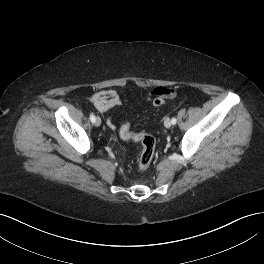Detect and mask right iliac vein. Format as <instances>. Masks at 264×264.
I'll use <instances>...</instances> for the list:
<instances>
[{"label": "right iliac vein", "instance_id": "63e3f726", "mask_svg": "<svg viewBox=\"0 0 264 264\" xmlns=\"http://www.w3.org/2000/svg\"><path fill=\"white\" fill-rule=\"evenodd\" d=\"M95 125L96 126H100L101 125V119L98 116L95 118Z\"/></svg>", "mask_w": 264, "mask_h": 264}]
</instances>
